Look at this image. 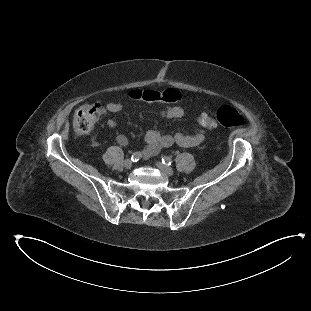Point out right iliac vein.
<instances>
[{"label": "right iliac vein", "instance_id": "63e3f726", "mask_svg": "<svg viewBox=\"0 0 311 311\" xmlns=\"http://www.w3.org/2000/svg\"><path fill=\"white\" fill-rule=\"evenodd\" d=\"M132 161L130 160V159H127V160H125V162H124V167L126 168V169H130L131 167H132Z\"/></svg>", "mask_w": 311, "mask_h": 311}]
</instances>
